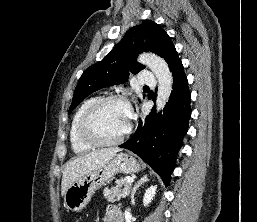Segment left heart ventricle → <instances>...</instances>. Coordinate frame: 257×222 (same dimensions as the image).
<instances>
[{
	"instance_id": "b2bd125f",
	"label": "left heart ventricle",
	"mask_w": 257,
	"mask_h": 222,
	"mask_svg": "<svg viewBox=\"0 0 257 222\" xmlns=\"http://www.w3.org/2000/svg\"><path fill=\"white\" fill-rule=\"evenodd\" d=\"M130 123L129 109L120 103L103 106L93 117L91 128L103 140H114L121 136Z\"/></svg>"
}]
</instances>
